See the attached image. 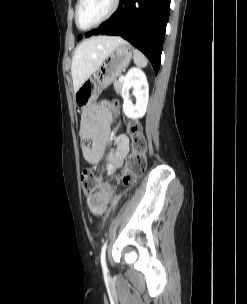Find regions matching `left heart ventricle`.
Returning a JSON list of instances; mask_svg holds the SVG:
<instances>
[{"label":"left heart ventricle","instance_id":"obj_1","mask_svg":"<svg viewBox=\"0 0 247 304\" xmlns=\"http://www.w3.org/2000/svg\"><path fill=\"white\" fill-rule=\"evenodd\" d=\"M113 0H83L78 22L81 28H87L100 20L111 8Z\"/></svg>","mask_w":247,"mask_h":304}]
</instances>
